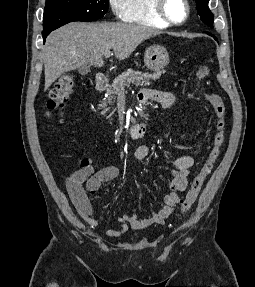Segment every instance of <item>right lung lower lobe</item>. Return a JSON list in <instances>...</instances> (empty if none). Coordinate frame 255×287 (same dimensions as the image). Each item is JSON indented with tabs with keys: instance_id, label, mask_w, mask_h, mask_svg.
I'll list each match as a JSON object with an SVG mask.
<instances>
[{
	"instance_id": "right-lung-lower-lobe-1",
	"label": "right lung lower lobe",
	"mask_w": 255,
	"mask_h": 287,
	"mask_svg": "<svg viewBox=\"0 0 255 287\" xmlns=\"http://www.w3.org/2000/svg\"><path fill=\"white\" fill-rule=\"evenodd\" d=\"M43 34V39L45 41L46 37L50 34V32L42 33Z\"/></svg>"
}]
</instances>
